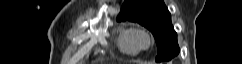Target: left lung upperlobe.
<instances>
[{
	"mask_svg": "<svg viewBox=\"0 0 242 64\" xmlns=\"http://www.w3.org/2000/svg\"><path fill=\"white\" fill-rule=\"evenodd\" d=\"M118 21H132L148 28L158 47L156 62L169 61L180 49L171 15L163 0H125Z\"/></svg>",
	"mask_w": 242,
	"mask_h": 64,
	"instance_id": "left-lung-upper-lobe-1",
	"label": "left lung upper lobe"
}]
</instances>
